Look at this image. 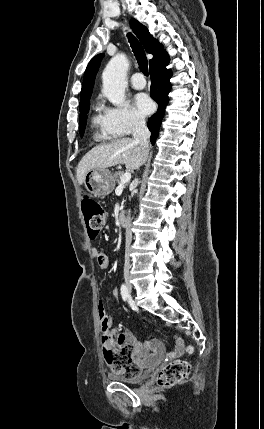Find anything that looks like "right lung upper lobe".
Wrapping results in <instances>:
<instances>
[{
  "mask_svg": "<svg viewBox=\"0 0 264 429\" xmlns=\"http://www.w3.org/2000/svg\"><path fill=\"white\" fill-rule=\"evenodd\" d=\"M130 26L143 44L146 52L153 54V58L149 61V65L151 66L166 51L164 50L162 44H160L155 38L152 37V35H150L148 29L136 19L132 18L130 20ZM103 57L104 54L96 55L87 66L82 84L80 106L90 103L89 99L92 94L95 76Z\"/></svg>",
  "mask_w": 264,
  "mask_h": 429,
  "instance_id": "right-lung-upper-lobe-1",
  "label": "right lung upper lobe"
}]
</instances>
